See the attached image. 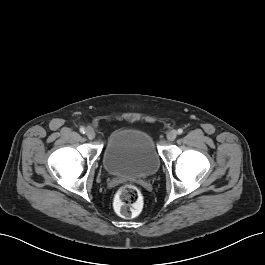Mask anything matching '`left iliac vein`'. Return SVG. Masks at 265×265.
<instances>
[{"label": "left iliac vein", "mask_w": 265, "mask_h": 265, "mask_svg": "<svg viewBox=\"0 0 265 265\" xmlns=\"http://www.w3.org/2000/svg\"><path fill=\"white\" fill-rule=\"evenodd\" d=\"M177 137V131L176 130H171L168 134H167V139L168 141H174Z\"/></svg>", "instance_id": "1"}]
</instances>
